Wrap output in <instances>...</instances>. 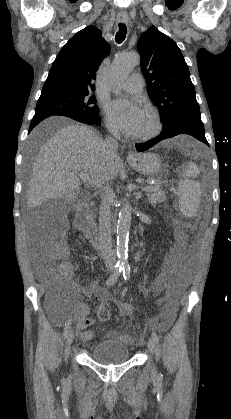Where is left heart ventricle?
I'll list each match as a JSON object with an SVG mask.
<instances>
[{"instance_id":"obj_1","label":"left heart ventricle","mask_w":231,"mask_h":419,"mask_svg":"<svg viewBox=\"0 0 231 419\" xmlns=\"http://www.w3.org/2000/svg\"><path fill=\"white\" fill-rule=\"evenodd\" d=\"M151 127H152V120H151L150 116L145 112L137 134L145 133L148 130H150Z\"/></svg>"}]
</instances>
